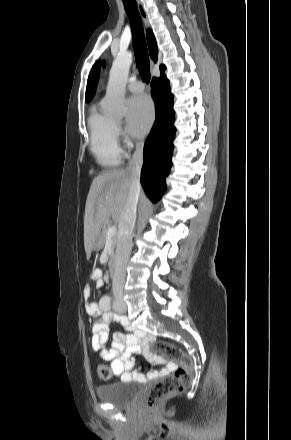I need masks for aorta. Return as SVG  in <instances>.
<instances>
[{"label": "aorta", "instance_id": "obj_1", "mask_svg": "<svg viewBox=\"0 0 291 440\" xmlns=\"http://www.w3.org/2000/svg\"><path fill=\"white\" fill-rule=\"evenodd\" d=\"M132 60L130 52H120L110 70L106 96L103 100V111L113 118H123L127 111L125 85Z\"/></svg>", "mask_w": 291, "mask_h": 440}]
</instances>
